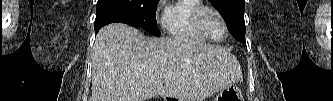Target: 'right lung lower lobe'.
I'll return each instance as SVG.
<instances>
[{
    "mask_svg": "<svg viewBox=\"0 0 333 101\" xmlns=\"http://www.w3.org/2000/svg\"><path fill=\"white\" fill-rule=\"evenodd\" d=\"M114 22H121L134 26L133 19L128 11L116 0H104L97 4L96 19L94 22L95 35L100 28Z\"/></svg>",
    "mask_w": 333,
    "mask_h": 101,
    "instance_id": "98d812e1",
    "label": "right lung lower lobe"
}]
</instances>
